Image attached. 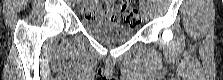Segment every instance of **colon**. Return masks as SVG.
Returning a JSON list of instances; mask_svg holds the SVG:
<instances>
[{
  "label": "colon",
  "instance_id": "obj_1",
  "mask_svg": "<svg viewBox=\"0 0 223 80\" xmlns=\"http://www.w3.org/2000/svg\"><path fill=\"white\" fill-rule=\"evenodd\" d=\"M115 13L123 19L130 26H136L141 21L139 11L130 6L128 1H119L115 4Z\"/></svg>",
  "mask_w": 223,
  "mask_h": 80
}]
</instances>
